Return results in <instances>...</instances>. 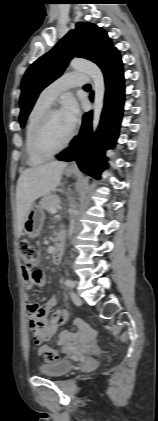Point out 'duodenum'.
Listing matches in <instances>:
<instances>
[{
    "instance_id": "410a0bca",
    "label": "duodenum",
    "mask_w": 158,
    "mask_h": 421,
    "mask_svg": "<svg viewBox=\"0 0 158 421\" xmlns=\"http://www.w3.org/2000/svg\"><path fill=\"white\" fill-rule=\"evenodd\" d=\"M64 248H65V241L64 236H60L58 239V242L55 245L54 251H53V262L55 264H59L63 258L64 255Z\"/></svg>"
}]
</instances>
